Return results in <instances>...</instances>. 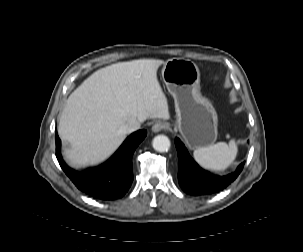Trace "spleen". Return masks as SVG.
Here are the masks:
<instances>
[{
  "label": "spleen",
  "instance_id": "1",
  "mask_svg": "<svg viewBox=\"0 0 303 252\" xmlns=\"http://www.w3.org/2000/svg\"><path fill=\"white\" fill-rule=\"evenodd\" d=\"M237 153V144L235 140H231L229 144L218 142L208 147L197 148L193 155L203 168L211 171H223L234 162Z\"/></svg>",
  "mask_w": 303,
  "mask_h": 252
}]
</instances>
